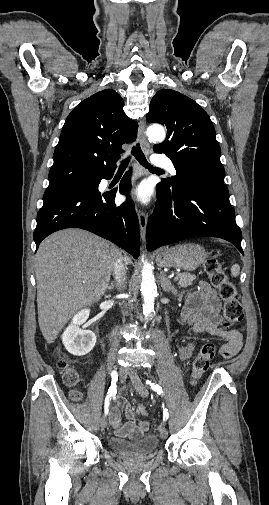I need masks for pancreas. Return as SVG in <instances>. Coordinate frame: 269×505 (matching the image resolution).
I'll return each instance as SVG.
<instances>
[{
	"instance_id": "pancreas-1",
	"label": "pancreas",
	"mask_w": 269,
	"mask_h": 505,
	"mask_svg": "<svg viewBox=\"0 0 269 505\" xmlns=\"http://www.w3.org/2000/svg\"><path fill=\"white\" fill-rule=\"evenodd\" d=\"M177 276L178 286L184 288L192 285L193 281L196 279V276L190 273H179Z\"/></svg>"
}]
</instances>
